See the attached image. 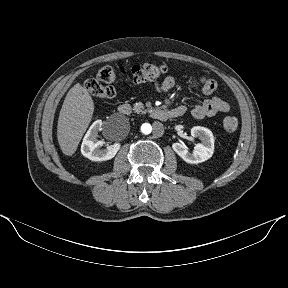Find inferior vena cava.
I'll return each instance as SVG.
<instances>
[{
    "mask_svg": "<svg viewBox=\"0 0 288 288\" xmlns=\"http://www.w3.org/2000/svg\"><path fill=\"white\" fill-rule=\"evenodd\" d=\"M152 128H153L151 132L152 137L155 139L161 138L163 132L162 123L160 121H154L152 123Z\"/></svg>",
    "mask_w": 288,
    "mask_h": 288,
    "instance_id": "inferior-vena-cava-1",
    "label": "inferior vena cava"
}]
</instances>
